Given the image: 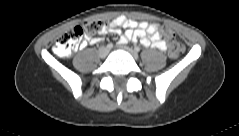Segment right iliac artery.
Here are the masks:
<instances>
[{
	"label": "right iliac artery",
	"instance_id": "82829eb1",
	"mask_svg": "<svg viewBox=\"0 0 239 136\" xmlns=\"http://www.w3.org/2000/svg\"><path fill=\"white\" fill-rule=\"evenodd\" d=\"M113 47V44L112 43H109L108 45H107V48L108 49H111Z\"/></svg>",
	"mask_w": 239,
	"mask_h": 136
}]
</instances>
